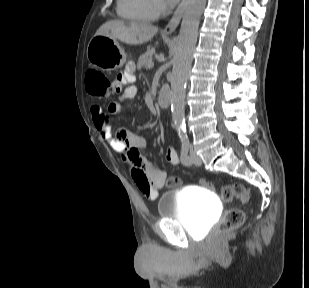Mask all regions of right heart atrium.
I'll list each match as a JSON object with an SVG mask.
<instances>
[{"label": "right heart atrium", "mask_w": 309, "mask_h": 288, "mask_svg": "<svg viewBox=\"0 0 309 288\" xmlns=\"http://www.w3.org/2000/svg\"><path fill=\"white\" fill-rule=\"evenodd\" d=\"M154 2L159 13H162L166 10L165 0H154Z\"/></svg>", "instance_id": "right-heart-atrium-1"}]
</instances>
